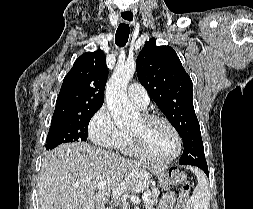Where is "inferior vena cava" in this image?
Wrapping results in <instances>:
<instances>
[{
    "mask_svg": "<svg viewBox=\"0 0 253 209\" xmlns=\"http://www.w3.org/2000/svg\"><path fill=\"white\" fill-rule=\"evenodd\" d=\"M111 155H113L114 157H120L118 154L112 153Z\"/></svg>",
    "mask_w": 253,
    "mask_h": 209,
    "instance_id": "inferior-vena-cava-1",
    "label": "inferior vena cava"
}]
</instances>
